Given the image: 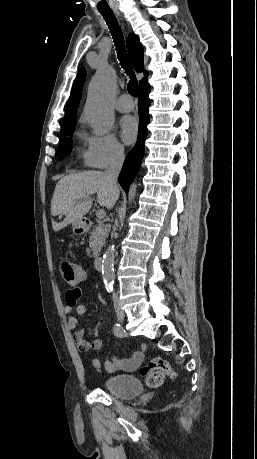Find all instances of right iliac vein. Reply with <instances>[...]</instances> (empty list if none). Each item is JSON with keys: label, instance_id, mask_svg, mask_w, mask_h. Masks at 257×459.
I'll list each match as a JSON object with an SVG mask.
<instances>
[{"label": "right iliac vein", "instance_id": "1", "mask_svg": "<svg viewBox=\"0 0 257 459\" xmlns=\"http://www.w3.org/2000/svg\"><path fill=\"white\" fill-rule=\"evenodd\" d=\"M117 317L120 322L124 320V314L121 311L117 312Z\"/></svg>", "mask_w": 257, "mask_h": 459}]
</instances>
